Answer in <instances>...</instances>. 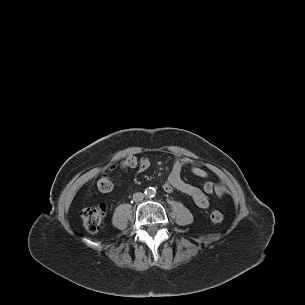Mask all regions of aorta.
<instances>
[{
  "instance_id": "obj_1",
  "label": "aorta",
  "mask_w": 305,
  "mask_h": 305,
  "mask_svg": "<svg viewBox=\"0 0 305 305\" xmlns=\"http://www.w3.org/2000/svg\"><path fill=\"white\" fill-rule=\"evenodd\" d=\"M154 194V190L149 188L147 189V195L152 196Z\"/></svg>"
}]
</instances>
